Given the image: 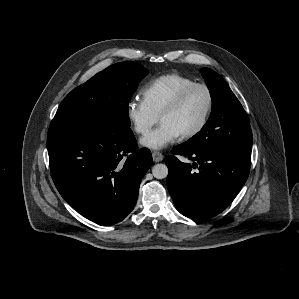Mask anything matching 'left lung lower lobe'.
I'll list each match as a JSON object with an SVG mask.
<instances>
[{
	"label": "left lung lower lobe",
	"mask_w": 299,
	"mask_h": 299,
	"mask_svg": "<svg viewBox=\"0 0 299 299\" xmlns=\"http://www.w3.org/2000/svg\"><path fill=\"white\" fill-rule=\"evenodd\" d=\"M173 153L165 157L167 187L177 210L191 219L206 220L221 213L249 175L251 152H203L183 143L174 147ZM176 155L193 163H183Z\"/></svg>",
	"instance_id": "left-lung-lower-lobe-1"
}]
</instances>
